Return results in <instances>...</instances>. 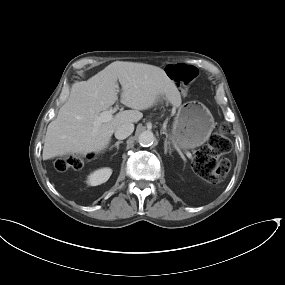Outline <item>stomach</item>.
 Instances as JSON below:
<instances>
[{"label": "stomach", "instance_id": "1", "mask_svg": "<svg viewBox=\"0 0 285 285\" xmlns=\"http://www.w3.org/2000/svg\"><path fill=\"white\" fill-rule=\"evenodd\" d=\"M213 128L210 111L199 102H187L178 109L170 139L181 149L196 148L209 139Z\"/></svg>", "mask_w": 285, "mask_h": 285}]
</instances>
